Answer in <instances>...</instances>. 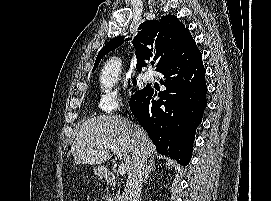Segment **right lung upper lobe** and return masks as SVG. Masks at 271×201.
<instances>
[{
	"label": "right lung upper lobe",
	"instance_id": "1",
	"mask_svg": "<svg viewBox=\"0 0 271 201\" xmlns=\"http://www.w3.org/2000/svg\"><path fill=\"white\" fill-rule=\"evenodd\" d=\"M139 32L134 38L133 44L137 54V70L141 71L150 59L158 60L156 71L173 58L182 45L191 38L188 28L177 19L168 15L159 21H145L139 26ZM125 36H118L110 40L98 53L93 71L98 66L101 58L111 50L121 46Z\"/></svg>",
	"mask_w": 271,
	"mask_h": 201
}]
</instances>
